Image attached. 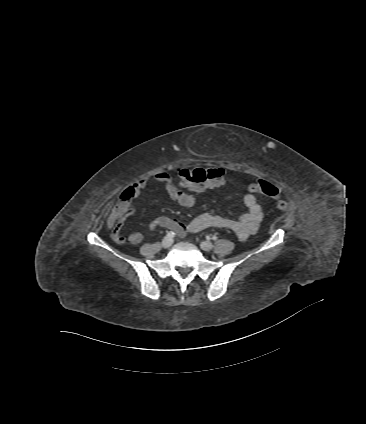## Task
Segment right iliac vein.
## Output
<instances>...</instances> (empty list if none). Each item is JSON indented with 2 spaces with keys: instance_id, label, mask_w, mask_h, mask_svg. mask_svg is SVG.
I'll return each instance as SVG.
<instances>
[{
  "instance_id": "obj_1",
  "label": "right iliac vein",
  "mask_w": 366,
  "mask_h": 424,
  "mask_svg": "<svg viewBox=\"0 0 366 424\" xmlns=\"http://www.w3.org/2000/svg\"><path fill=\"white\" fill-rule=\"evenodd\" d=\"M172 242H173L172 238L166 236L162 240V246L164 248H168V247H170L172 245Z\"/></svg>"
}]
</instances>
